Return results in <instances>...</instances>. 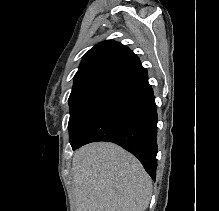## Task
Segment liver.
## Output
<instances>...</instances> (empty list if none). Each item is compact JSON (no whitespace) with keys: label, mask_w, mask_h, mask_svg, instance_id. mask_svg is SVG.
Listing matches in <instances>:
<instances>
[{"label":"liver","mask_w":219,"mask_h":211,"mask_svg":"<svg viewBox=\"0 0 219 211\" xmlns=\"http://www.w3.org/2000/svg\"><path fill=\"white\" fill-rule=\"evenodd\" d=\"M71 189L75 211H144L152 195V179L139 159L110 141L76 149Z\"/></svg>","instance_id":"1"}]
</instances>
